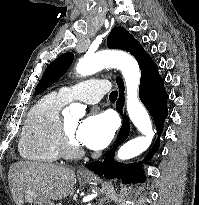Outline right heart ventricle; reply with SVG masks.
<instances>
[{"label":"right heart ventricle","mask_w":199,"mask_h":205,"mask_svg":"<svg viewBox=\"0 0 199 205\" xmlns=\"http://www.w3.org/2000/svg\"><path fill=\"white\" fill-rule=\"evenodd\" d=\"M67 103L59 93L43 96L29 111L24 121L19 153L25 160L40 163H55L60 155L56 146L60 110Z\"/></svg>","instance_id":"1"}]
</instances>
